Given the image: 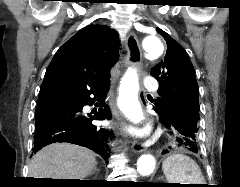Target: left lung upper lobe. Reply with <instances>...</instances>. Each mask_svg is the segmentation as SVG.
Segmentation results:
<instances>
[{"label": "left lung upper lobe", "mask_w": 240, "mask_h": 187, "mask_svg": "<svg viewBox=\"0 0 240 187\" xmlns=\"http://www.w3.org/2000/svg\"><path fill=\"white\" fill-rule=\"evenodd\" d=\"M157 32L167 43L164 60L154 66L151 75L160 81L155 109L172 108L199 120V91L195 70L184 48L160 28Z\"/></svg>", "instance_id": "5c2ea615"}]
</instances>
